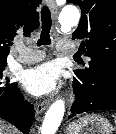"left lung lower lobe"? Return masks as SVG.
<instances>
[{
	"mask_svg": "<svg viewBox=\"0 0 116 134\" xmlns=\"http://www.w3.org/2000/svg\"><path fill=\"white\" fill-rule=\"evenodd\" d=\"M73 88L76 99L69 118L83 112L116 110V75L105 77L101 87L94 91H87L84 84L76 77Z\"/></svg>",
	"mask_w": 116,
	"mask_h": 134,
	"instance_id": "0a47b994",
	"label": "left lung lower lobe"
}]
</instances>
